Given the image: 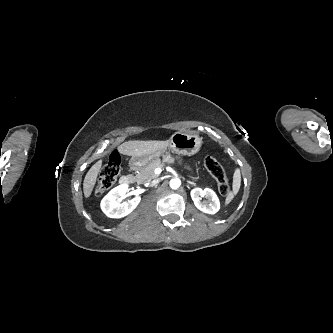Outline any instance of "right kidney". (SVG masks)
I'll return each instance as SVG.
<instances>
[{"instance_id": "obj_1", "label": "right kidney", "mask_w": 333, "mask_h": 333, "mask_svg": "<svg viewBox=\"0 0 333 333\" xmlns=\"http://www.w3.org/2000/svg\"><path fill=\"white\" fill-rule=\"evenodd\" d=\"M128 184L113 188L101 201L102 211L110 218H122L130 214L140 203L141 197L136 196L128 202L119 203L118 199L128 192Z\"/></svg>"}]
</instances>
